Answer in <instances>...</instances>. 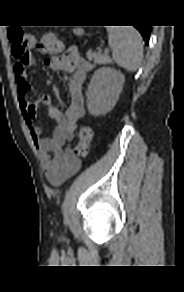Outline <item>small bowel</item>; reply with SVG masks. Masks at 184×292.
Masks as SVG:
<instances>
[{"label": "small bowel", "instance_id": "small-bowel-1", "mask_svg": "<svg viewBox=\"0 0 184 292\" xmlns=\"http://www.w3.org/2000/svg\"><path fill=\"white\" fill-rule=\"evenodd\" d=\"M35 45V39L31 38L29 47ZM32 62V56L28 53L26 62L17 60L14 65L18 101L33 143L41 154V163L46 177L51 184L59 185L76 173L81 166L79 158L69 144L74 139L78 121L84 115L85 100L82 89L88 73L94 66L80 56L75 46L69 47L63 55H53L45 61L46 67L70 74L68 78L69 104L63 112L51 103V97L48 94H41L36 101L29 100L26 68ZM41 105L47 107L49 117L55 122L51 137H44L41 128L35 123L38 108Z\"/></svg>", "mask_w": 184, "mask_h": 292}]
</instances>
